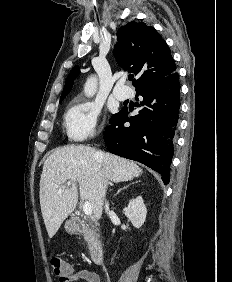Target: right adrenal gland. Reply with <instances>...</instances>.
Returning <instances> with one entry per match:
<instances>
[{
	"instance_id": "obj_1",
	"label": "right adrenal gland",
	"mask_w": 232,
	"mask_h": 282,
	"mask_svg": "<svg viewBox=\"0 0 232 282\" xmlns=\"http://www.w3.org/2000/svg\"><path fill=\"white\" fill-rule=\"evenodd\" d=\"M129 185H130V184H128V185H126V186H124V187L118 189V191L116 192V194H115L114 196L118 195L122 190H124V189H126L127 187H129Z\"/></svg>"
}]
</instances>
